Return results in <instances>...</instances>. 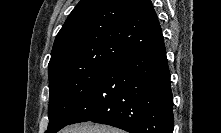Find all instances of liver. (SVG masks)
I'll return each instance as SVG.
<instances>
[{"instance_id":"6515ba94","label":"liver","mask_w":221,"mask_h":133,"mask_svg":"<svg viewBox=\"0 0 221 133\" xmlns=\"http://www.w3.org/2000/svg\"><path fill=\"white\" fill-rule=\"evenodd\" d=\"M62 133H123L122 130L92 123L76 124L62 130Z\"/></svg>"}]
</instances>
